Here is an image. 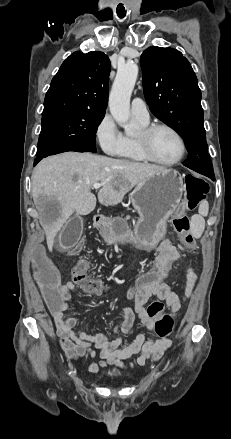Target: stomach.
I'll return each instance as SVG.
<instances>
[{
	"instance_id": "stomach-1",
	"label": "stomach",
	"mask_w": 231,
	"mask_h": 439,
	"mask_svg": "<svg viewBox=\"0 0 231 439\" xmlns=\"http://www.w3.org/2000/svg\"><path fill=\"white\" fill-rule=\"evenodd\" d=\"M183 189V177L172 169L143 180L130 194L139 215L133 233L125 220L110 218L100 226L104 240L108 244L131 241L139 249H154L166 233L167 221L178 207Z\"/></svg>"
}]
</instances>
